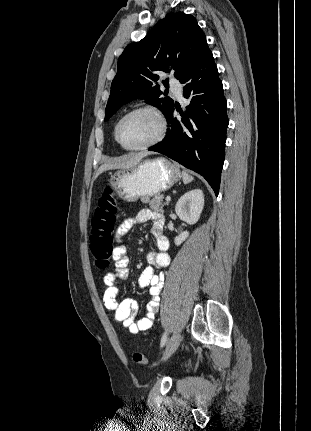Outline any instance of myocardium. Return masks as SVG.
<instances>
[{
  "instance_id": "obj_1",
  "label": "myocardium",
  "mask_w": 311,
  "mask_h": 431,
  "mask_svg": "<svg viewBox=\"0 0 311 431\" xmlns=\"http://www.w3.org/2000/svg\"><path fill=\"white\" fill-rule=\"evenodd\" d=\"M141 111H148V112H151L157 116V118L160 121V132L152 141H150L146 144H143L140 146H135V147L126 146L120 138L119 125L126 117L130 116L131 114L141 112ZM167 127H168L167 119H166L165 115L163 114V112L153 105L144 104V105L134 107V108L124 112L117 119L115 126H114V137H115L116 141L119 143V145L125 150H129V151L145 150V149H148V148H151V147L157 145L159 142H161L163 140V138L165 137V135L167 133Z\"/></svg>"
}]
</instances>
